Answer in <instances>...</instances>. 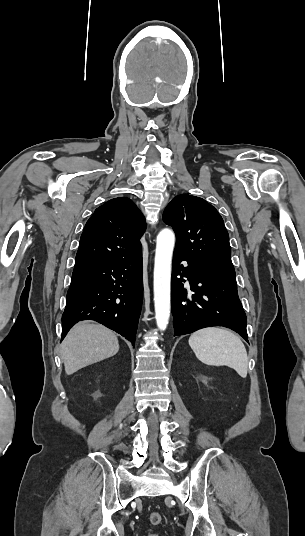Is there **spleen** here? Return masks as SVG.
Masks as SVG:
<instances>
[{"label": "spleen", "mask_w": 305, "mask_h": 536, "mask_svg": "<svg viewBox=\"0 0 305 536\" xmlns=\"http://www.w3.org/2000/svg\"><path fill=\"white\" fill-rule=\"evenodd\" d=\"M189 346L196 358L207 366H229L246 378L248 358L244 344L225 328H203L191 334Z\"/></svg>", "instance_id": "obj_1"}]
</instances>
